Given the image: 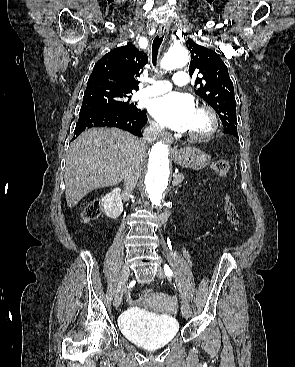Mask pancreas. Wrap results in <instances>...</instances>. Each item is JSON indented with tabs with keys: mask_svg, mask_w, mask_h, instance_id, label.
Masks as SVG:
<instances>
[{
	"mask_svg": "<svg viewBox=\"0 0 295 367\" xmlns=\"http://www.w3.org/2000/svg\"><path fill=\"white\" fill-rule=\"evenodd\" d=\"M184 180V176L181 173L178 174H174L173 176V184L174 185H179L180 183H182Z\"/></svg>",
	"mask_w": 295,
	"mask_h": 367,
	"instance_id": "obj_1",
	"label": "pancreas"
}]
</instances>
